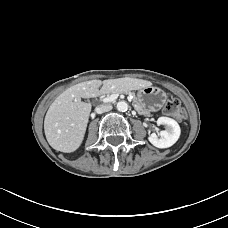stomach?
<instances>
[{
	"label": "stomach",
	"instance_id": "stomach-1",
	"mask_svg": "<svg viewBox=\"0 0 228 228\" xmlns=\"http://www.w3.org/2000/svg\"><path fill=\"white\" fill-rule=\"evenodd\" d=\"M136 99L142 109L146 111H157L165 103L166 94L158 87L147 86L138 91Z\"/></svg>",
	"mask_w": 228,
	"mask_h": 228
}]
</instances>
